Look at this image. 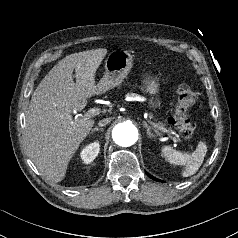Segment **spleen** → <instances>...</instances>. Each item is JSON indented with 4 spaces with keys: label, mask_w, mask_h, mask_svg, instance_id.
<instances>
[{
    "label": "spleen",
    "mask_w": 238,
    "mask_h": 238,
    "mask_svg": "<svg viewBox=\"0 0 238 238\" xmlns=\"http://www.w3.org/2000/svg\"><path fill=\"white\" fill-rule=\"evenodd\" d=\"M161 152L162 156L170 164L184 165L185 169L182 175L183 177H188L195 174L202 165L207 152V146L201 141L196 150L190 154L177 151L170 146H163Z\"/></svg>",
    "instance_id": "spleen-1"
}]
</instances>
